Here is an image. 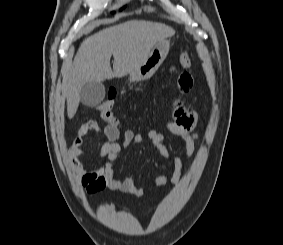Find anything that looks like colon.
Listing matches in <instances>:
<instances>
[{
	"mask_svg": "<svg viewBox=\"0 0 283 245\" xmlns=\"http://www.w3.org/2000/svg\"><path fill=\"white\" fill-rule=\"evenodd\" d=\"M179 65L183 68H188L192 64L191 56L184 52L178 59ZM116 93L113 90L108 92L107 98L101 102L97 109L100 113L101 118L109 124L118 125V120L113 114V107L115 103Z\"/></svg>",
	"mask_w": 283,
	"mask_h": 245,
	"instance_id": "5ec220e1",
	"label": "colon"
}]
</instances>
